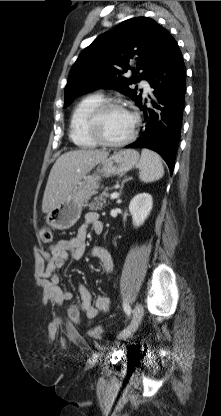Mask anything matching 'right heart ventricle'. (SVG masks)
Listing matches in <instances>:
<instances>
[{
	"label": "right heart ventricle",
	"instance_id": "obj_1",
	"mask_svg": "<svg viewBox=\"0 0 221 416\" xmlns=\"http://www.w3.org/2000/svg\"><path fill=\"white\" fill-rule=\"evenodd\" d=\"M104 100L100 94H91L83 99L74 108L70 118V138L79 147L92 148L98 143L87 130V121L93 109Z\"/></svg>",
	"mask_w": 221,
	"mask_h": 416
}]
</instances>
